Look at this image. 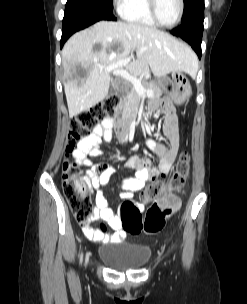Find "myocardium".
Wrapping results in <instances>:
<instances>
[{
	"label": "myocardium",
	"instance_id": "obj_1",
	"mask_svg": "<svg viewBox=\"0 0 247 304\" xmlns=\"http://www.w3.org/2000/svg\"><path fill=\"white\" fill-rule=\"evenodd\" d=\"M179 1V14H178V17L176 19V21L172 24H169V25H166L164 23H162L158 17V14H157V0H147L148 2V10H149V13L153 19V21L158 25V26H161L163 28H174L175 26H177L181 20H182V17H183V14H184V8H185V5H184V0H178Z\"/></svg>",
	"mask_w": 247,
	"mask_h": 304
}]
</instances>
